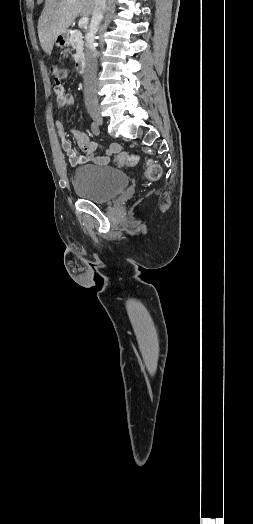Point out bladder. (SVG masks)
I'll return each mask as SVG.
<instances>
[{"mask_svg": "<svg viewBox=\"0 0 253 524\" xmlns=\"http://www.w3.org/2000/svg\"><path fill=\"white\" fill-rule=\"evenodd\" d=\"M72 185L80 199L105 204L127 187L128 176L113 167L88 165L74 171Z\"/></svg>", "mask_w": 253, "mask_h": 524, "instance_id": "31cf9c89", "label": "bladder"}]
</instances>
